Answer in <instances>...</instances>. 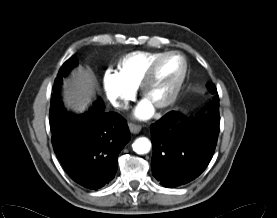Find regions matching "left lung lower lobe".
I'll return each mask as SVG.
<instances>
[{"label": "left lung lower lobe", "mask_w": 277, "mask_h": 218, "mask_svg": "<svg viewBox=\"0 0 277 218\" xmlns=\"http://www.w3.org/2000/svg\"><path fill=\"white\" fill-rule=\"evenodd\" d=\"M219 120V98L215 97L207 113L200 117L171 111L152 124L153 176L170 188L198 177L212 159Z\"/></svg>", "instance_id": "left-lung-lower-lobe-1"}]
</instances>
